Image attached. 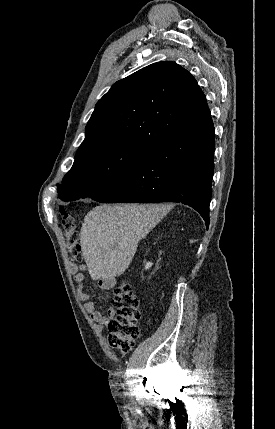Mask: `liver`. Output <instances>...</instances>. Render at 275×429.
I'll return each mask as SVG.
<instances>
[{
	"label": "liver",
	"instance_id": "liver-1",
	"mask_svg": "<svg viewBox=\"0 0 275 429\" xmlns=\"http://www.w3.org/2000/svg\"><path fill=\"white\" fill-rule=\"evenodd\" d=\"M163 204L101 205L90 210L80 245L93 280H114L129 267L144 238L167 213Z\"/></svg>",
	"mask_w": 275,
	"mask_h": 429
}]
</instances>
